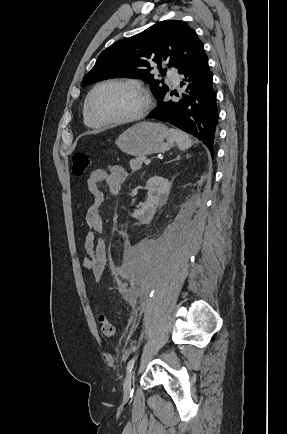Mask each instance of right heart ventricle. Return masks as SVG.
Returning <instances> with one entry per match:
<instances>
[{
  "label": "right heart ventricle",
  "mask_w": 287,
  "mask_h": 434,
  "mask_svg": "<svg viewBox=\"0 0 287 434\" xmlns=\"http://www.w3.org/2000/svg\"><path fill=\"white\" fill-rule=\"evenodd\" d=\"M83 119H84V123L86 125H88V126H91V127H98L99 126V125H97L95 122H93L90 119V117L88 116V114H87V112L85 110V106H84V109H83Z\"/></svg>",
  "instance_id": "right-heart-ventricle-1"
}]
</instances>
